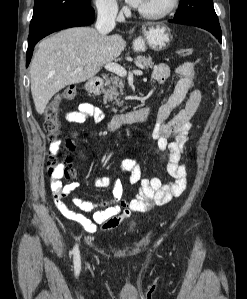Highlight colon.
<instances>
[{
  "label": "colon",
  "instance_id": "5ec220e1",
  "mask_svg": "<svg viewBox=\"0 0 247 299\" xmlns=\"http://www.w3.org/2000/svg\"><path fill=\"white\" fill-rule=\"evenodd\" d=\"M193 53V48H182L177 50V55L182 58H188L192 56ZM76 94L77 90L74 86L66 87L48 103L44 111L43 128L51 144L48 157V172L53 182L59 181L62 178L69 179L74 176V170L70 166V162L72 161L71 156L67 155L64 160H60L57 156L61 144V131L60 122L58 120V109L62 101L73 99ZM64 147L68 151H72L74 149V144L71 140H66L64 142Z\"/></svg>",
  "mask_w": 247,
  "mask_h": 299
}]
</instances>
